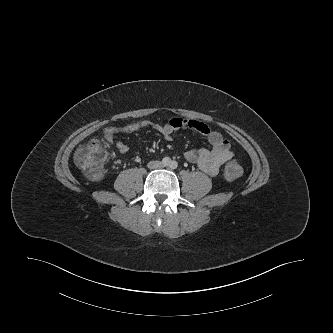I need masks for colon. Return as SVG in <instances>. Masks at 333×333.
Segmentation results:
<instances>
[{
    "label": "colon",
    "mask_w": 333,
    "mask_h": 333,
    "mask_svg": "<svg viewBox=\"0 0 333 333\" xmlns=\"http://www.w3.org/2000/svg\"><path fill=\"white\" fill-rule=\"evenodd\" d=\"M76 165L91 180L100 179L105 171L107 161L106 147L98 140L88 142L80 147L74 156ZM242 173V168L237 162L227 164L224 176L229 180L237 179Z\"/></svg>",
    "instance_id": "obj_1"
}]
</instances>
